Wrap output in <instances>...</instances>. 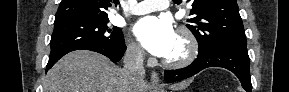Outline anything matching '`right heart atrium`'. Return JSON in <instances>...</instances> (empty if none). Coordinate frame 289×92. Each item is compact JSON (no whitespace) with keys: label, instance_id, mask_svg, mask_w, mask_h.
<instances>
[{"label":"right heart atrium","instance_id":"1","mask_svg":"<svg viewBox=\"0 0 289 92\" xmlns=\"http://www.w3.org/2000/svg\"><path fill=\"white\" fill-rule=\"evenodd\" d=\"M126 54L130 60L136 63H140L144 59V53L142 48L133 41H130L127 44Z\"/></svg>","mask_w":289,"mask_h":92}]
</instances>
